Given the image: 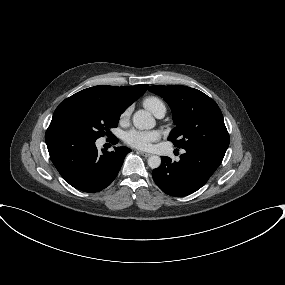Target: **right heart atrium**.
I'll list each match as a JSON object with an SVG mask.
<instances>
[{
	"mask_svg": "<svg viewBox=\"0 0 285 285\" xmlns=\"http://www.w3.org/2000/svg\"><path fill=\"white\" fill-rule=\"evenodd\" d=\"M129 114H130V109L127 108V109H126L125 111H123V113L121 114L120 120H121V121L126 120V119L128 118V116H129Z\"/></svg>",
	"mask_w": 285,
	"mask_h": 285,
	"instance_id": "1",
	"label": "right heart atrium"
}]
</instances>
